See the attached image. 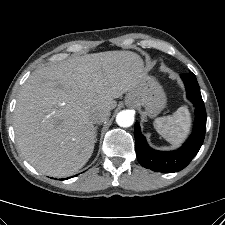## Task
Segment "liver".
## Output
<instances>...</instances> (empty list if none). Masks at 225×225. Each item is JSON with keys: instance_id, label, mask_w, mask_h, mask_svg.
I'll return each mask as SVG.
<instances>
[{"instance_id": "1", "label": "liver", "mask_w": 225, "mask_h": 225, "mask_svg": "<svg viewBox=\"0 0 225 225\" xmlns=\"http://www.w3.org/2000/svg\"><path fill=\"white\" fill-rule=\"evenodd\" d=\"M146 76L143 60L131 51L87 54L35 70L14 111L22 155L48 176L75 174L94 150L93 111L114 109V99L137 88Z\"/></svg>"}]
</instances>
